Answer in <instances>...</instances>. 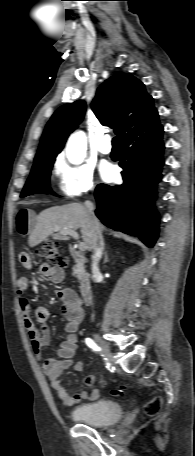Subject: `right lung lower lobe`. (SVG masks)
<instances>
[{"label": "right lung lower lobe", "instance_id": "1", "mask_svg": "<svg viewBox=\"0 0 195 456\" xmlns=\"http://www.w3.org/2000/svg\"><path fill=\"white\" fill-rule=\"evenodd\" d=\"M163 127L148 128L122 143V185L99 184L96 215L108 227L138 236L148 247L158 237V214L153 207L164 164Z\"/></svg>", "mask_w": 195, "mask_h": 456}]
</instances>
